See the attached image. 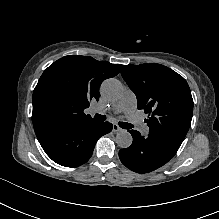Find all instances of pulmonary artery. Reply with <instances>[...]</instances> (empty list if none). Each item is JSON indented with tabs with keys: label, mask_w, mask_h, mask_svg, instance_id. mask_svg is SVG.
<instances>
[{
	"label": "pulmonary artery",
	"mask_w": 219,
	"mask_h": 219,
	"mask_svg": "<svg viewBox=\"0 0 219 219\" xmlns=\"http://www.w3.org/2000/svg\"><path fill=\"white\" fill-rule=\"evenodd\" d=\"M137 105V99L135 93L131 89H126L121 99L118 101L114 108L115 113H124L126 116L134 121V111ZM91 112L100 113L98 108H92Z\"/></svg>",
	"instance_id": "e3ab8cb5"
}]
</instances>
